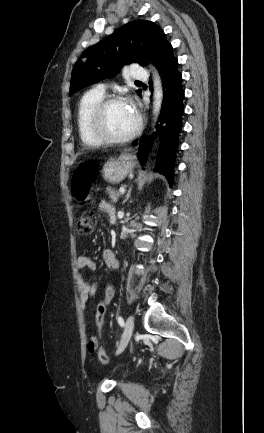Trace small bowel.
<instances>
[{
	"instance_id": "small-bowel-1",
	"label": "small bowel",
	"mask_w": 264,
	"mask_h": 433,
	"mask_svg": "<svg viewBox=\"0 0 264 433\" xmlns=\"http://www.w3.org/2000/svg\"><path fill=\"white\" fill-rule=\"evenodd\" d=\"M99 209L109 216L110 222H115V209L107 201H101L99 203ZM106 266L110 269H117L120 266L119 259L117 258L113 250H107L103 255ZM78 267L81 269L94 270L95 263L85 254H82L78 258ZM78 287L80 290V303L83 310L86 309L88 302L93 298L98 290V283H87L81 276L77 279ZM114 294V289L110 284H105V296L104 298L109 303ZM99 348V339L95 336H90L87 340V350L90 353L96 352Z\"/></svg>"
}]
</instances>
